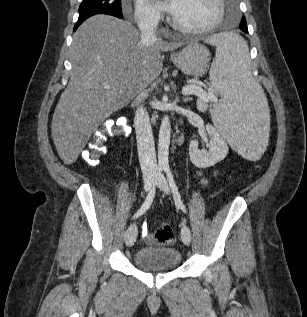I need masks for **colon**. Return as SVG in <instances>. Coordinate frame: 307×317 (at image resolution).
I'll return each instance as SVG.
<instances>
[{"label":"colon","mask_w":307,"mask_h":317,"mask_svg":"<svg viewBox=\"0 0 307 317\" xmlns=\"http://www.w3.org/2000/svg\"><path fill=\"white\" fill-rule=\"evenodd\" d=\"M126 124L116 119H109L103 122L90 136L84 159L91 165H96L100 157L106 153V143L109 139L122 135L125 132ZM155 240L161 245L171 244L174 234L172 228L165 223L158 224L154 232Z\"/></svg>","instance_id":"obj_1"}]
</instances>
